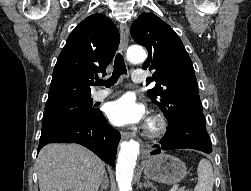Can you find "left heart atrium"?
Listing matches in <instances>:
<instances>
[{"label": "left heart atrium", "instance_id": "obj_1", "mask_svg": "<svg viewBox=\"0 0 251 191\" xmlns=\"http://www.w3.org/2000/svg\"><path fill=\"white\" fill-rule=\"evenodd\" d=\"M106 114L114 125L125 127L141 123L145 109L131 96H123L107 105Z\"/></svg>", "mask_w": 251, "mask_h": 191}]
</instances>
